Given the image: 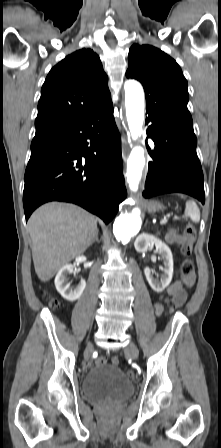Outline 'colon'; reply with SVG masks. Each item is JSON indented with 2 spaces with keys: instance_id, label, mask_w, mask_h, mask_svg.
I'll return each mask as SVG.
<instances>
[{
  "instance_id": "5ec220e1",
  "label": "colon",
  "mask_w": 221,
  "mask_h": 448,
  "mask_svg": "<svg viewBox=\"0 0 221 448\" xmlns=\"http://www.w3.org/2000/svg\"><path fill=\"white\" fill-rule=\"evenodd\" d=\"M196 231L195 227L192 224H188L183 232V241L181 246V251L183 255L186 257L181 265V277L183 285L187 286L190 282V279L194 275V262L191 259L192 251H193V242L195 239ZM181 306L179 301H174L170 307V311L174 312ZM106 363L105 358H99L97 360V364L104 365ZM120 360L118 357L112 358L113 365H119ZM128 376H132V372H127Z\"/></svg>"
}]
</instances>
